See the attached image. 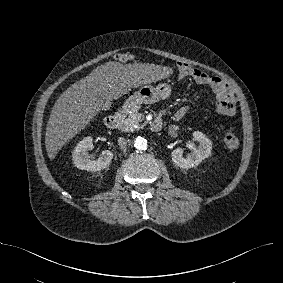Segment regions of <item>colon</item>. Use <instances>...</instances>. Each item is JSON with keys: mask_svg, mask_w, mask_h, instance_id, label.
Masks as SVG:
<instances>
[{"mask_svg": "<svg viewBox=\"0 0 283 283\" xmlns=\"http://www.w3.org/2000/svg\"><path fill=\"white\" fill-rule=\"evenodd\" d=\"M180 68L182 71H188L189 67L185 64H180ZM224 142L227 146V148L233 150L238 148L239 146V139L238 137L232 133V132H228L225 137H224Z\"/></svg>", "mask_w": 283, "mask_h": 283, "instance_id": "1", "label": "colon"}]
</instances>
